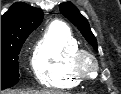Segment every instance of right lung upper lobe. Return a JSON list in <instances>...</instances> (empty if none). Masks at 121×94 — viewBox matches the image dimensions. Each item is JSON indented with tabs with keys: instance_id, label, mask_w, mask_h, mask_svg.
<instances>
[{
	"instance_id": "cb5924a9",
	"label": "right lung upper lobe",
	"mask_w": 121,
	"mask_h": 94,
	"mask_svg": "<svg viewBox=\"0 0 121 94\" xmlns=\"http://www.w3.org/2000/svg\"><path fill=\"white\" fill-rule=\"evenodd\" d=\"M43 12L26 3L18 2L1 17V41L24 32H32L43 20Z\"/></svg>"
}]
</instances>
